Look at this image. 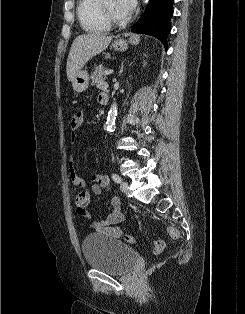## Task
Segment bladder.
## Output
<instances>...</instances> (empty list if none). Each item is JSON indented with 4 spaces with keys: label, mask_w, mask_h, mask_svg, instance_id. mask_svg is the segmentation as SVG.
<instances>
[{
    "label": "bladder",
    "mask_w": 245,
    "mask_h": 314,
    "mask_svg": "<svg viewBox=\"0 0 245 314\" xmlns=\"http://www.w3.org/2000/svg\"><path fill=\"white\" fill-rule=\"evenodd\" d=\"M82 253L88 266L110 274L125 273L138 258L128 245L101 234L86 235Z\"/></svg>",
    "instance_id": "31cf9c89"
}]
</instances>
